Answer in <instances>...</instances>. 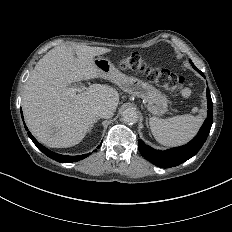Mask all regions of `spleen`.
Returning a JSON list of instances; mask_svg holds the SVG:
<instances>
[{
    "instance_id": "spleen-1",
    "label": "spleen",
    "mask_w": 232,
    "mask_h": 232,
    "mask_svg": "<svg viewBox=\"0 0 232 232\" xmlns=\"http://www.w3.org/2000/svg\"><path fill=\"white\" fill-rule=\"evenodd\" d=\"M205 106V102H202ZM206 117V109L202 108L200 114L178 115L172 118L161 119L151 117L149 120L150 129L156 141L160 144L173 147L190 141L198 132Z\"/></svg>"
}]
</instances>
